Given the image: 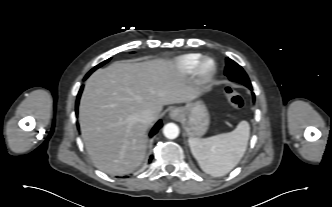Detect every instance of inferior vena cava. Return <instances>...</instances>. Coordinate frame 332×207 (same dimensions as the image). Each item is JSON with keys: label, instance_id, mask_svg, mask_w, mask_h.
I'll list each match as a JSON object with an SVG mask.
<instances>
[{"label": "inferior vena cava", "instance_id": "inferior-vena-cava-1", "mask_svg": "<svg viewBox=\"0 0 332 207\" xmlns=\"http://www.w3.org/2000/svg\"><path fill=\"white\" fill-rule=\"evenodd\" d=\"M154 118H155V116H154V112L152 110H145V111L141 112L139 115L140 122L145 125L151 124L153 122Z\"/></svg>", "mask_w": 332, "mask_h": 207}]
</instances>
